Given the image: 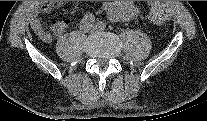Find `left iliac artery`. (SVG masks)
Returning a JSON list of instances; mask_svg holds the SVG:
<instances>
[{"label": "left iliac artery", "instance_id": "44dca946", "mask_svg": "<svg viewBox=\"0 0 207 121\" xmlns=\"http://www.w3.org/2000/svg\"><path fill=\"white\" fill-rule=\"evenodd\" d=\"M97 24H98L99 28H101V29H105L106 28V24L104 22H102V21L98 22Z\"/></svg>", "mask_w": 207, "mask_h": 121}]
</instances>
